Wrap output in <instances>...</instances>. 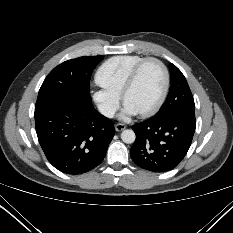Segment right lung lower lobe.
<instances>
[{
  "instance_id": "98d812e1",
  "label": "right lung lower lobe",
  "mask_w": 233,
  "mask_h": 233,
  "mask_svg": "<svg viewBox=\"0 0 233 233\" xmlns=\"http://www.w3.org/2000/svg\"><path fill=\"white\" fill-rule=\"evenodd\" d=\"M39 143L48 161L66 174L86 173L104 159L113 122L91 103L59 100L35 109Z\"/></svg>"
}]
</instances>
